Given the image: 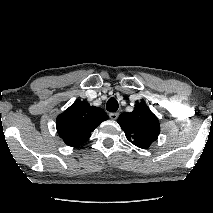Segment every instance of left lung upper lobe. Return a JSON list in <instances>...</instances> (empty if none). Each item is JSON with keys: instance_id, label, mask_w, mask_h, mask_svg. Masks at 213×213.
<instances>
[{"instance_id": "5c2ea615", "label": "left lung upper lobe", "mask_w": 213, "mask_h": 213, "mask_svg": "<svg viewBox=\"0 0 213 213\" xmlns=\"http://www.w3.org/2000/svg\"><path fill=\"white\" fill-rule=\"evenodd\" d=\"M118 123L127 139L142 149H147L160 133L158 118L143 103L136 104L130 113L120 114Z\"/></svg>"}]
</instances>
